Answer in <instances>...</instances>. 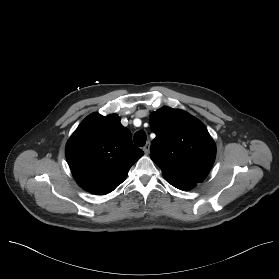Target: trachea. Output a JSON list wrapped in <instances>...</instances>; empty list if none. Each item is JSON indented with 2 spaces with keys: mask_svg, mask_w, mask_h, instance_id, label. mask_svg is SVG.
Returning a JSON list of instances; mask_svg holds the SVG:
<instances>
[{
  "mask_svg": "<svg viewBox=\"0 0 279 279\" xmlns=\"http://www.w3.org/2000/svg\"><path fill=\"white\" fill-rule=\"evenodd\" d=\"M134 143L138 147H143L146 144V133L142 130L137 131L134 135Z\"/></svg>",
  "mask_w": 279,
  "mask_h": 279,
  "instance_id": "1",
  "label": "trachea"
}]
</instances>
